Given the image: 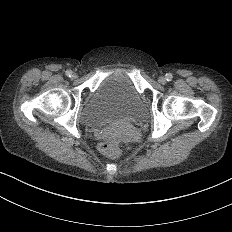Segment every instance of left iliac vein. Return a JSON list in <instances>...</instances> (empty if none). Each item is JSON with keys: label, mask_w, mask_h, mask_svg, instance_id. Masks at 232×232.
Returning <instances> with one entry per match:
<instances>
[{"label": "left iliac vein", "mask_w": 232, "mask_h": 232, "mask_svg": "<svg viewBox=\"0 0 232 232\" xmlns=\"http://www.w3.org/2000/svg\"><path fill=\"white\" fill-rule=\"evenodd\" d=\"M159 83L160 84H165L166 83V78L165 77H160L159 78Z\"/></svg>", "instance_id": "left-iliac-vein-1"}]
</instances>
